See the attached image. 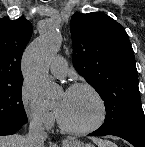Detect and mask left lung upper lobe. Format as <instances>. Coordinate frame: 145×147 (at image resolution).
Segmentation results:
<instances>
[{
    "label": "left lung upper lobe",
    "instance_id": "obj_1",
    "mask_svg": "<svg viewBox=\"0 0 145 147\" xmlns=\"http://www.w3.org/2000/svg\"><path fill=\"white\" fill-rule=\"evenodd\" d=\"M70 31L74 68L104 101L106 118L99 129L145 127L134 52L124 27L102 12L75 13Z\"/></svg>",
    "mask_w": 145,
    "mask_h": 147
}]
</instances>
